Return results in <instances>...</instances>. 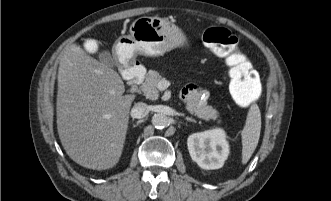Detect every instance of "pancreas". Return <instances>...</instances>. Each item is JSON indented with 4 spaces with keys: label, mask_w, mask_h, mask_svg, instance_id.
Instances as JSON below:
<instances>
[{
    "label": "pancreas",
    "mask_w": 331,
    "mask_h": 201,
    "mask_svg": "<svg viewBox=\"0 0 331 201\" xmlns=\"http://www.w3.org/2000/svg\"><path fill=\"white\" fill-rule=\"evenodd\" d=\"M162 80V76L157 71H150L145 81L140 86L143 94L151 99L157 100L159 97L158 83ZM205 94V98L201 99V96ZM209 92L206 90L194 91L188 95L186 99V109L196 115L198 118L205 121L210 119H217L219 114L216 109L207 104V98Z\"/></svg>",
    "instance_id": "1"
}]
</instances>
